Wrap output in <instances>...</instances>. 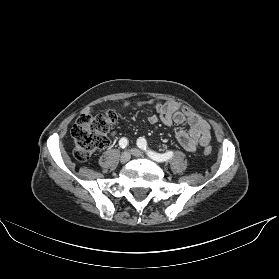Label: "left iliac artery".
<instances>
[{
  "mask_svg": "<svg viewBox=\"0 0 279 279\" xmlns=\"http://www.w3.org/2000/svg\"><path fill=\"white\" fill-rule=\"evenodd\" d=\"M137 146L144 150L146 152V154L152 158L153 160L155 161H158V162H164V161H167L169 160L172 156H173V152L172 151H168L164 154H161V153H156L152 150H150L147 146V141L140 137L138 140H137Z\"/></svg>",
  "mask_w": 279,
  "mask_h": 279,
  "instance_id": "44dca946",
  "label": "left iliac artery"
}]
</instances>
